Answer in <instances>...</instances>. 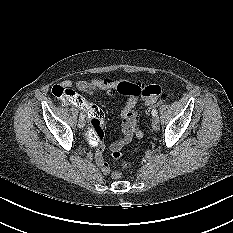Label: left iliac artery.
Segmentation results:
<instances>
[{
    "mask_svg": "<svg viewBox=\"0 0 233 233\" xmlns=\"http://www.w3.org/2000/svg\"><path fill=\"white\" fill-rule=\"evenodd\" d=\"M157 114H158L157 110H156V109H153V110H152V116H153V117H157Z\"/></svg>",
    "mask_w": 233,
    "mask_h": 233,
    "instance_id": "1",
    "label": "left iliac artery"
}]
</instances>
